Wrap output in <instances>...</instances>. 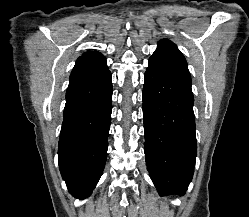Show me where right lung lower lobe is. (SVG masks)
I'll use <instances>...</instances> for the list:
<instances>
[{
  "label": "right lung lower lobe",
  "mask_w": 249,
  "mask_h": 217,
  "mask_svg": "<svg viewBox=\"0 0 249 217\" xmlns=\"http://www.w3.org/2000/svg\"><path fill=\"white\" fill-rule=\"evenodd\" d=\"M112 111L111 73L101 53L81 56L70 75L58 162L69 192L88 197L107 157Z\"/></svg>",
  "instance_id": "obj_1"
}]
</instances>
